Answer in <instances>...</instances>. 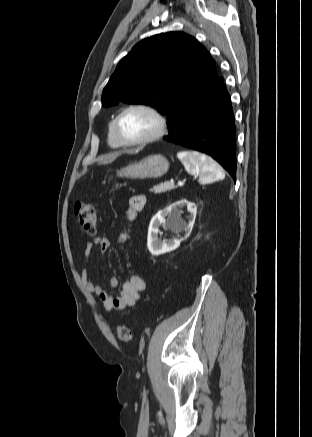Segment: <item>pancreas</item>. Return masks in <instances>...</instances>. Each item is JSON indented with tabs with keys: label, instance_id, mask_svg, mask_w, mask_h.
I'll list each match as a JSON object with an SVG mask.
<instances>
[{
	"label": "pancreas",
	"instance_id": "obj_1",
	"mask_svg": "<svg viewBox=\"0 0 312 437\" xmlns=\"http://www.w3.org/2000/svg\"><path fill=\"white\" fill-rule=\"evenodd\" d=\"M176 186L173 183L170 182H164L162 184L154 186L152 189H150L151 192H154L155 194H160L166 191H170L175 189Z\"/></svg>",
	"mask_w": 312,
	"mask_h": 437
}]
</instances>
